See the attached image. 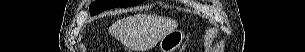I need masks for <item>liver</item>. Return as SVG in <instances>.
<instances>
[{"mask_svg":"<svg viewBox=\"0 0 305 52\" xmlns=\"http://www.w3.org/2000/svg\"><path fill=\"white\" fill-rule=\"evenodd\" d=\"M141 18L137 16H130L127 18L120 19L113 23L109 27V33L115 37H120L124 35L125 33H128L130 31H133L140 22ZM177 23H175L172 20H165L158 26L157 34L155 35L151 46L156 45L162 37H164L168 32L176 29Z\"/></svg>","mask_w":305,"mask_h":52,"instance_id":"liver-1","label":"liver"}]
</instances>
